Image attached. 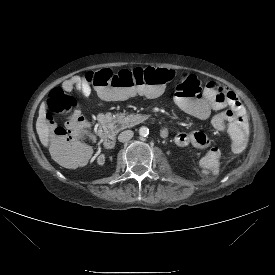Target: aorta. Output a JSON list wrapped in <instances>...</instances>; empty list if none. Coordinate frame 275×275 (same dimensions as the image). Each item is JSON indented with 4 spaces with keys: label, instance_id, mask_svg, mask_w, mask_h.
I'll use <instances>...</instances> for the list:
<instances>
[{
    "label": "aorta",
    "instance_id": "aorta-1",
    "mask_svg": "<svg viewBox=\"0 0 275 275\" xmlns=\"http://www.w3.org/2000/svg\"><path fill=\"white\" fill-rule=\"evenodd\" d=\"M149 134V129L147 127H140L139 129V135L142 137H146Z\"/></svg>",
    "mask_w": 275,
    "mask_h": 275
}]
</instances>
